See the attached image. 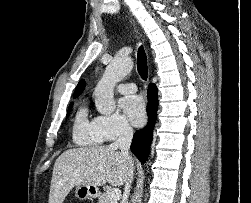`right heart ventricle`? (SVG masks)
Returning a JSON list of instances; mask_svg holds the SVG:
<instances>
[{"label":"right heart ventricle","mask_w":251,"mask_h":203,"mask_svg":"<svg viewBox=\"0 0 251 203\" xmlns=\"http://www.w3.org/2000/svg\"><path fill=\"white\" fill-rule=\"evenodd\" d=\"M72 139L80 146H98L103 139L94 127L93 120L88 118L87 108L81 107L72 127Z\"/></svg>","instance_id":"1"}]
</instances>
